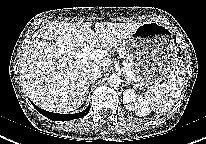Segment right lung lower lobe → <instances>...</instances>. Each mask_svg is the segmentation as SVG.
<instances>
[{
    "label": "right lung lower lobe",
    "mask_w": 206,
    "mask_h": 144,
    "mask_svg": "<svg viewBox=\"0 0 206 144\" xmlns=\"http://www.w3.org/2000/svg\"><path fill=\"white\" fill-rule=\"evenodd\" d=\"M33 104V103H32ZM33 106L38 110V112H40L41 114H43L45 117L54 120V121H67V120H72V119H77V118H81L84 117L85 115L88 114L89 110H90V106H88L84 111L79 112V113H75V114H58V113H52V112H48L45 111L39 107H37L36 105L33 104Z\"/></svg>",
    "instance_id": "obj_1"
}]
</instances>
